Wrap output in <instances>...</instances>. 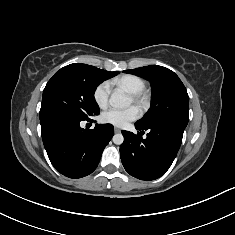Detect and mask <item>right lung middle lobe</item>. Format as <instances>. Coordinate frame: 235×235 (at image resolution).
<instances>
[{
  "mask_svg": "<svg viewBox=\"0 0 235 235\" xmlns=\"http://www.w3.org/2000/svg\"><path fill=\"white\" fill-rule=\"evenodd\" d=\"M107 78L88 71L63 67L48 81L42 97L39 118L83 121L99 114L94 93Z\"/></svg>",
  "mask_w": 235,
  "mask_h": 235,
  "instance_id": "1",
  "label": "right lung middle lobe"
}]
</instances>
